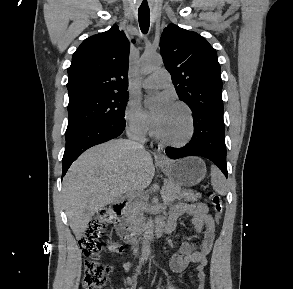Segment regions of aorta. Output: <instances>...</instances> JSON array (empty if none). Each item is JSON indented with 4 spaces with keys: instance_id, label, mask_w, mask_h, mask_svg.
<instances>
[{
    "instance_id": "1",
    "label": "aorta",
    "mask_w": 293,
    "mask_h": 289,
    "mask_svg": "<svg viewBox=\"0 0 293 289\" xmlns=\"http://www.w3.org/2000/svg\"><path fill=\"white\" fill-rule=\"evenodd\" d=\"M162 65V59L160 56L155 54H145L141 59V71L144 73H150L159 69ZM154 233V223L150 218L147 221L144 238L142 243V252L144 255H148L150 252L151 241Z\"/></svg>"
}]
</instances>
